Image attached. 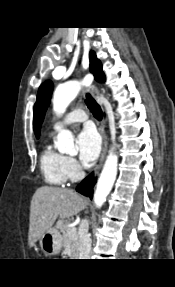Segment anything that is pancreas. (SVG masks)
I'll use <instances>...</instances> for the list:
<instances>
[{
    "mask_svg": "<svg viewBox=\"0 0 175 287\" xmlns=\"http://www.w3.org/2000/svg\"><path fill=\"white\" fill-rule=\"evenodd\" d=\"M56 228L62 233L64 246L69 244L72 256H77L79 251V237L77 232L69 235L68 231L70 228L67 227V224L62 220L57 221Z\"/></svg>",
    "mask_w": 175,
    "mask_h": 287,
    "instance_id": "cf45deb5",
    "label": "pancreas"
}]
</instances>
